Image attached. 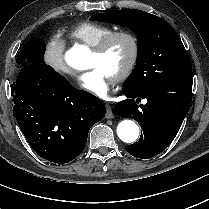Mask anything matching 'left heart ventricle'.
<instances>
[{
    "instance_id": "obj_1",
    "label": "left heart ventricle",
    "mask_w": 209,
    "mask_h": 209,
    "mask_svg": "<svg viewBox=\"0 0 209 209\" xmlns=\"http://www.w3.org/2000/svg\"><path fill=\"white\" fill-rule=\"evenodd\" d=\"M130 54V42L124 38H120L113 43L106 55L99 57L92 53L89 67H99L107 75L115 78L126 65Z\"/></svg>"
}]
</instances>
